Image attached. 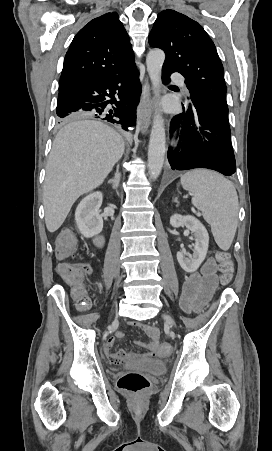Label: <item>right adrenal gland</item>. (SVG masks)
<instances>
[{
	"mask_svg": "<svg viewBox=\"0 0 272 451\" xmlns=\"http://www.w3.org/2000/svg\"><path fill=\"white\" fill-rule=\"evenodd\" d=\"M118 170H119V166H117V172L115 174V178H113V180H109V182H108V184H112L113 190H117V188L119 186L121 174H119Z\"/></svg>",
	"mask_w": 272,
	"mask_h": 451,
	"instance_id": "2a0ac1e0",
	"label": "right adrenal gland"
}]
</instances>
